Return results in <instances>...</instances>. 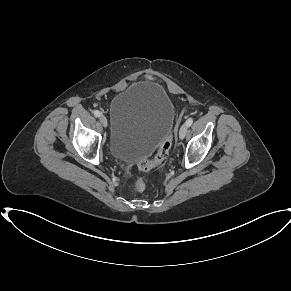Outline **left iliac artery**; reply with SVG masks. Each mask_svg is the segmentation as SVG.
<instances>
[{"label": "left iliac artery", "mask_w": 291, "mask_h": 291, "mask_svg": "<svg viewBox=\"0 0 291 291\" xmlns=\"http://www.w3.org/2000/svg\"><path fill=\"white\" fill-rule=\"evenodd\" d=\"M192 123H193V118H189V119L186 121V124H187L188 127L191 126Z\"/></svg>", "instance_id": "44dca946"}]
</instances>
